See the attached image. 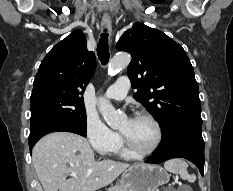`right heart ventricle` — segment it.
<instances>
[{
	"label": "right heart ventricle",
	"instance_id": "obj_1",
	"mask_svg": "<svg viewBox=\"0 0 233 191\" xmlns=\"http://www.w3.org/2000/svg\"><path fill=\"white\" fill-rule=\"evenodd\" d=\"M114 152L117 153L119 156L126 158V159L137 158V156L131 153L130 151H128L126 147L122 145V143L119 144V146L116 148Z\"/></svg>",
	"mask_w": 233,
	"mask_h": 191
}]
</instances>
